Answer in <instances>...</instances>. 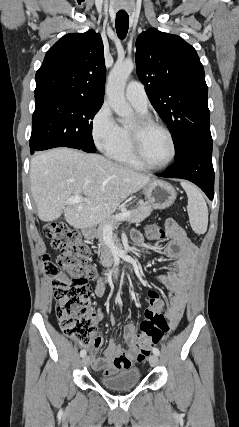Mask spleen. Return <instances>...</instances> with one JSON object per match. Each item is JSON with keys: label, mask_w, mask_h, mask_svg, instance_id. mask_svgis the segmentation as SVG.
Masks as SVG:
<instances>
[{"label": "spleen", "mask_w": 239, "mask_h": 427, "mask_svg": "<svg viewBox=\"0 0 239 427\" xmlns=\"http://www.w3.org/2000/svg\"><path fill=\"white\" fill-rule=\"evenodd\" d=\"M181 186L188 197V216L193 231L204 234L208 226V208L201 192L191 183L181 181Z\"/></svg>", "instance_id": "obj_1"}]
</instances>
